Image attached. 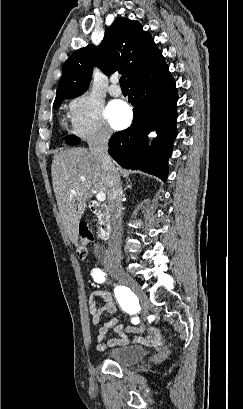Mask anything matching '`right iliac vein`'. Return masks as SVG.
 I'll list each match as a JSON object with an SVG mask.
<instances>
[{"label": "right iliac vein", "mask_w": 243, "mask_h": 409, "mask_svg": "<svg viewBox=\"0 0 243 409\" xmlns=\"http://www.w3.org/2000/svg\"><path fill=\"white\" fill-rule=\"evenodd\" d=\"M113 276L116 279H118L120 282L128 286L139 297L141 301L145 299V295L140 289L139 284L127 273H125L124 271H117L113 273ZM145 313H146V310H144V314Z\"/></svg>", "instance_id": "right-iliac-vein-1"}]
</instances>
